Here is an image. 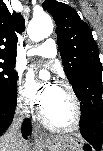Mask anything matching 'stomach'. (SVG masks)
Returning a JSON list of instances; mask_svg holds the SVG:
<instances>
[{
  "mask_svg": "<svg viewBox=\"0 0 103 151\" xmlns=\"http://www.w3.org/2000/svg\"><path fill=\"white\" fill-rule=\"evenodd\" d=\"M47 151H84L87 149L80 136H53L42 143Z\"/></svg>",
  "mask_w": 103,
  "mask_h": 151,
  "instance_id": "0dacf381",
  "label": "stomach"
}]
</instances>
